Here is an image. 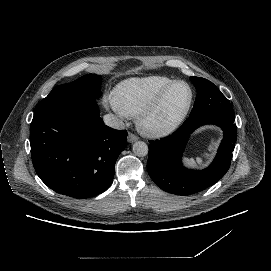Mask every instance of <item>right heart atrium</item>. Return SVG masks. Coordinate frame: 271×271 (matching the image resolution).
<instances>
[{
  "instance_id": "1",
  "label": "right heart atrium",
  "mask_w": 271,
  "mask_h": 271,
  "mask_svg": "<svg viewBox=\"0 0 271 271\" xmlns=\"http://www.w3.org/2000/svg\"><path fill=\"white\" fill-rule=\"evenodd\" d=\"M109 103L111 104V106L122 116H125L124 111L122 110L117 98L114 95H110L109 96Z\"/></svg>"
}]
</instances>
